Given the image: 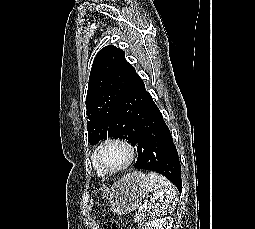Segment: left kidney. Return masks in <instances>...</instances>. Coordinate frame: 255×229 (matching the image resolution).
I'll use <instances>...</instances> for the list:
<instances>
[{"label": "left kidney", "mask_w": 255, "mask_h": 229, "mask_svg": "<svg viewBox=\"0 0 255 229\" xmlns=\"http://www.w3.org/2000/svg\"><path fill=\"white\" fill-rule=\"evenodd\" d=\"M173 226V218H159L151 220L144 225L142 229H171Z\"/></svg>", "instance_id": "obj_1"}]
</instances>
